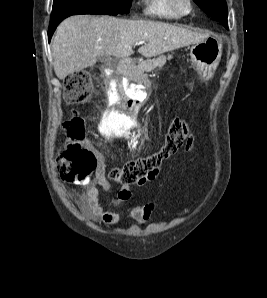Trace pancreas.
Listing matches in <instances>:
<instances>
[{
    "instance_id": "obj_1",
    "label": "pancreas",
    "mask_w": 267,
    "mask_h": 298,
    "mask_svg": "<svg viewBox=\"0 0 267 298\" xmlns=\"http://www.w3.org/2000/svg\"><path fill=\"white\" fill-rule=\"evenodd\" d=\"M166 62L165 56H160L156 59H148L146 61L140 62L137 66H134L128 77L131 80L140 81L141 79L146 78L145 73L151 72L156 68H161Z\"/></svg>"
}]
</instances>
